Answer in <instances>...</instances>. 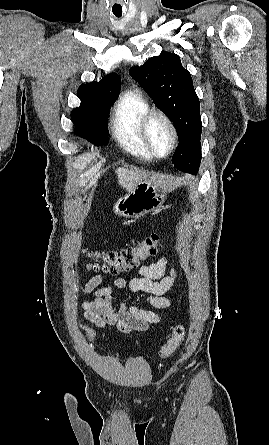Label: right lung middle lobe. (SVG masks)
<instances>
[{
  "label": "right lung middle lobe",
  "instance_id": "obj_1",
  "mask_svg": "<svg viewBox=\"0 0 269 445\" xmlns=\"http://www.w3.org/2000/svg\"><path fill=\"white\" fill-rule=\"evenodd\" d=\"M112 104L92 106L71 112L76 134L95 146L108 143V116Z\"/></svg>",
  "mask_w": 269,
  "mask_h": 445
}]
</instances>
